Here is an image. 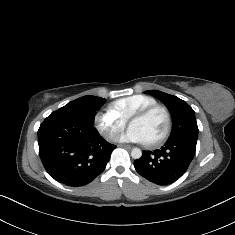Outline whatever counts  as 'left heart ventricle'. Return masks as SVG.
I'll return each instance as SVG.
<instances>
[{
    "instance_id": "left-heart-ventricle-1",
    "label": "left heart ventricle",
    "mask_w": 235,
    "mask_h": 235,
    "mask_svg": "<svg viewBox=\"0 0 235 235\" xmlns=\"http://www.w3.org/2000/svg\"><path fill=\"white\" fill-rule=\"evenodd\" d=\"M130 125L139 129L144 135L146 143H148L164 133L167 119L163 112L156 111L147 118L133 120Z\"/></svg>"
}]
</instances>
